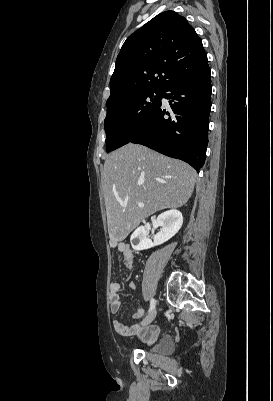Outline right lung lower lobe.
Here are the masks:
<instances>
[{"label": "right lung lower lobe", "instance_id": "98d812e1", "mask_svg": "<svg viewBox=\"0 0 273 401\" xmlns=\"http://www.w3.org/2000/svg\"><path fill=\"white\" fill-rule=\"evenodd\" d=\"M210 75L207 62L181 71L162 90V98L170 99V113L161 102L129 142L181 159L198 171L204 164L208 144Z\"/></svg>", "mask_w": 273, "mask_h": 401}]
</instances>
